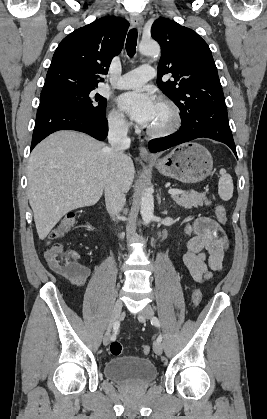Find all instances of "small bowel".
Wrapping results in <instances>:
<instances>
[{
  "mask_svg": "<svg viewBox=\"0 0 267 419\" xmlns=\"http://www.w3.org/2000/svg\"><path fill=\"white\" fill-rule=\"evenodd\" d=\"M186 234L194 233L187 244V251L183 256V263L195 282L208 280L211 271L223 269V259L228 242L220 225L211 218L201 217L185 228ZM88 279V270L84 268L82 274L71 277V281L78 287H84Z\"/></svg>",
  "mask_w": 267,
  "mask_h": 419,
  "instance_id": "obj_1",
  "label": "small bowel"
}]
</instances>
